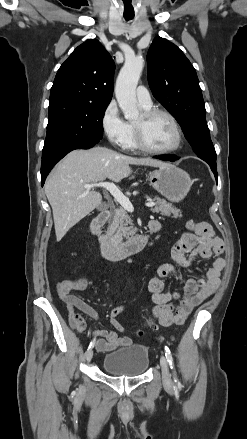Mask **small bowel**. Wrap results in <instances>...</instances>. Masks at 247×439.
I'll list each match as a JSON object with an SVG mask.
<instances>
[{
	"mask_svg": "<svg viewBox=\"0 0 247 439\" xmlns=\"http://www.w3.org/2000/svg\"><path fill=\"white\" fill-rule=\"evenodd\" d=\"M151 223L156 229L155 232L161 229L159 221L153 220ZM198 225V228L193 232H185L181 235L171 249L172 262L161 264L156 274L148 282V290L155 304L151 314L160 326L169 327L184 324L191 311L208 299L220 284V274L225 267V260L221 256L224 248L223 241L215 235L209 224L201 222ZM199 258H213L212 266L206 272V279H188L184 284L183 295L178 292H163L165 278L172 276L176 280L182 281L181 272L191 270L192 265ZM74 284L73 280H64L57 285L58 295L65 303L70 326L79 333L92 336L96 350L99 352H110L132 344V338L117 334V332L122 333L125 330L116 319L126 309L125 306H119L110 313V324L117 332L87 331L86 322L77 310L94 321H97L99 316L92 306L71 294ZM157 340L162 341V338Z\"/></svg>",
	"mask_w": 247,
	"mask_h": 439,
	"instance_id": "c3829d8e",
	"label": "small bowel"
}]
</instances>
